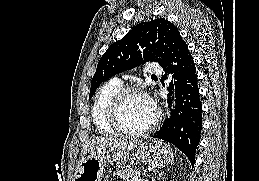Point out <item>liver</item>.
Instances as JSON below:
<instances>
[{"label":"liver","instance_id":"1","mask_svg":"<svg viewBox=\"0 0 259 181\" xmlns=\"http://www.w3.org/2000/svg\"><path fill=\"white\" fill-rule=\"evenodd\" d=\"M139 145L138 141H124L113 137H97L83 148L82 156L88 152L95 151H110V152H125L136 148Z\"/></svg>","mask_w":259,"mask_h":181}]
</instances>
